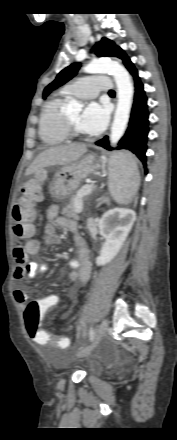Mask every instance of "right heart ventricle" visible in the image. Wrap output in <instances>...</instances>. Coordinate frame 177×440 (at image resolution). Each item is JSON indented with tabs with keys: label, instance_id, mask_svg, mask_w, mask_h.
<instances>
[{
	"label": "right heart ventricle",
	"instance_id": "obj_1",
	"mask_svg": "<svg viewBox=\"0 0 177 440\" xmlns=\"http://www.w3.org/2000/svg\"><path fill=\"white\" fill-rule=\"evenodd\" d=\"M70 93L62 89L44 105L39 119L38 134L46 146H57L66 142L67 134L63 123V107Z\"/></svg>",
	"mask_w": 177,
	"mask_h": 440
}]
</instances>
